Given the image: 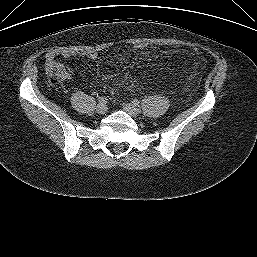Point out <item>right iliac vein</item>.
<instances>
[{"label": "right iliac vein", "instance_id": "right-iliac-vein-1", "mask_svg": "<svg viewBox=\"0 0 257 257\" xmlns=\"http://www.w3.org/2000/svg\"><path fill=\"white\" fill-rule=\"evenodd\" d=\"M96 112L98 114H105L107 112V106L104 103H99L96 106Z\"/></svg>", "mask_w": 257, "mask_h": 257}]
</instances>
